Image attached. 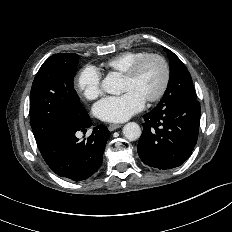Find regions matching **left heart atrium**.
<instances>
[{"instance_id": "1", "label": "left heart atrium", "mask_w": 232, "mask_h": 232, "mask_svg": "<svg viewBox=\"0 0 232 232\" xmlns=\"http://www.w3.org/2000/svg\"><path fill=\"white\" fill-rule=\"evenodd\" d=\"M145 99L136 91L128 90L119 96H109L94 106L96 116L106 122H124L144 108Z\"/></svg>"}]
</instances>
